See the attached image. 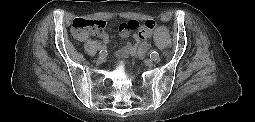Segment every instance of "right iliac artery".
<instances>
[{
    "label": "right iliac artery",
    "instance_id": "1",
    "mask_svg": "<svg viewBox=\"0 0 255 122\" xmlns=\"http://www.w3.org/2000/svg\"><path fill=\"white\" fill-rule=\"evenodd\" d=\"M99 50H100V53H101V52H102V53H105L106 48H105V46L101 45V46H99Z\"/></svg>",
    "mask_w": 255,
    "mask_h": 122
}]
</instances>
